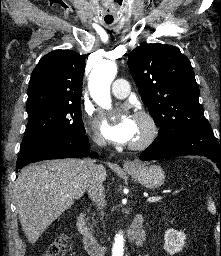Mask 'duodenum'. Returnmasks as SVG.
<instances>
[{
    "mask_svg": "<svg viewBox=\"0 0 221 256\" xmlns=\"http://www.w3.org/2000/svg\"><path fill=\"white\" fill-rule=\"evenodd\" d=\"M77 229L82 236V241L85 249L91 256H104L106 248L102 245L94 236V234L89 229L84 213H80L77 217ZM143 228V218L141 215H137L134 219L129 235L132 239H139L142 235Z\"/></svg>",
    "mask_w": 221,
    "mask_h": 256,
    "instance_id": "410a0bca",
    "label": "duodenum"
}]
</instances>
